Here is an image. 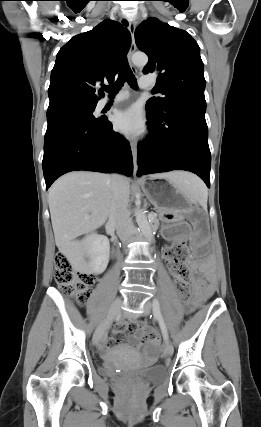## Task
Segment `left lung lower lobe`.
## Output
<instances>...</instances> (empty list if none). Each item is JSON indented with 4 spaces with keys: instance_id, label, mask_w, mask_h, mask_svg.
Wrapping results in <instances>:
<instances>
[{
    "instance_id": "1",
    "label": "left lung lower lobe",
    "mask_w": 261,
    "mask_h": 427,
    "mask_svg": "<svg viewBox=\"0 0 261 427\" xmlns=\"http://www.w3.org/2000/svg\"><path fill=\"white\" fill-rule=\"evenodd\" d=\"M151 135L138 152V174L186 170L210 187L211 154L205 120L206 102L182 99L162 113L148 107Z\"/></svg>"
}]
</instances>
